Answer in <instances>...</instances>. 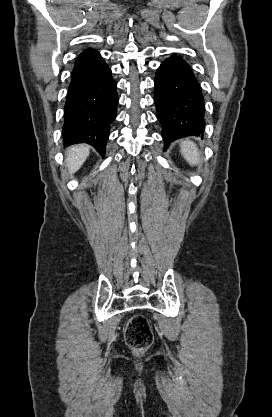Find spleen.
Segmentation results:
<instances>
[{"label":"spleen","instance_id":"3e777b00","mask_svg":"<svg viewBox=\"0 0 272 417\" xmlns=\"http://www.w3.org/2000/svg\"><path fill=\"white\" fill-rule=\"evenodd\" d=\"M180 147L181 154L190 165L195 166L201 163V152L192 141L183 140Z\"/></svg>","mask_w":272,"mask_h":417}]
</instances>
